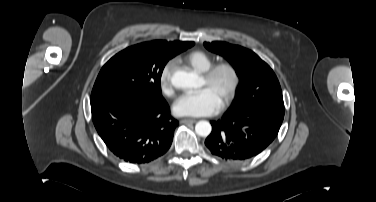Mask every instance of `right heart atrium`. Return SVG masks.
<instances>
[{"instance_id": "1", "label": "right heart atrium", "mask_w": 376, "mask_h": 202, "mask_svg": "<svg viewBox=\"0 0 376 202\" xmlns=\"http://www.w3.org/2000/svg\"><path fill=\"white\" fill-rule=\"evenodd\" d=\"M175 69L173 61H168L159 74V86L162 93L166 96L173 95L174 88L172 83V74Z\"/></svg>"}]
</instances>
